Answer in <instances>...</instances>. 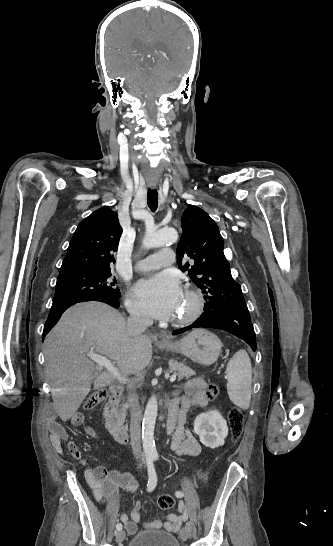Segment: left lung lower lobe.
<instances>
[{
  "label": "left lung lower lobe",
  "mask_w": 333,
  "mask_h": 546,
  "mask_svg": "<svg viewBox=\"0 0 333 546\" xmlns=\"http://www.w3.org/2000/svg\"><path fill=\"white\" fill-rule=\"evenodd\" d=\"M198 327L216 328L230 332L244 340L253 351L257 349L256 336L246 304L220 305L217 310L204 312L191 326L174 331L173 335Z\"/></svg>",
  "instance_id": "obj_1"
}]
</instances>
